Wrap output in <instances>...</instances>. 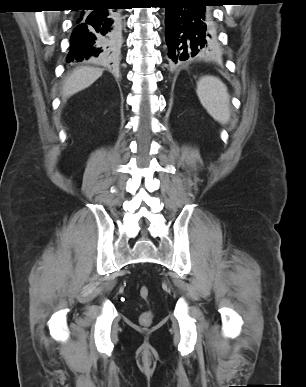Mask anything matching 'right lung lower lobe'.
<instances>
[{
	"label": "right lung lower lobe",
	"instance_id": "98d812e1",
	"mask_svg": "<svg viewBox=\"0 0 306 387\" xmlns=\"http://www.w3.org/2000/svg\"><path fill=\"white\" fill-rule=\"evenodd\" d=\"M76 13L67 62L111 63L119 52L120 11L111 2L89 3ZM114 7L113 9H108Z\"/></svg>",
	"mask_w": 306,
	"mask_h": 387
}]
</instances>
